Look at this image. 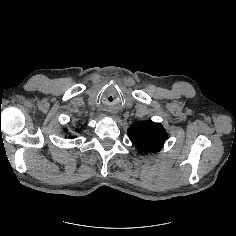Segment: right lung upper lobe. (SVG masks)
<instances>
[{"label":"right lung upper lobe","instance_id":"obj_1","mask_svg":"<svg viewBox=\"0 0 236 236\" xmlns=\"http://www.w3.org/2000/svg\"><path fill=\"white\" fill-rule=\"evenodd\" d=\"M65 131L67 132V130L65 129ZM78 131V130H77ZM70 138H74L73 136H70Z\"/></svg>","mask_w":236,"mask_h":236}]
</instances>
